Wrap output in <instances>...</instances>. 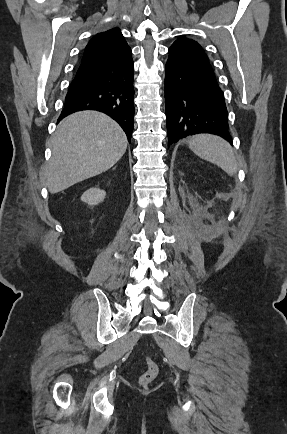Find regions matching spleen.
Wrapping results in <instances>:
<instances>
[{"instance_id":"3e777b00","label":"spleen","mask_w":287,"mask_h":434,"mask_svg":"<svg viewBox=\"0 0 287 434\" xmlns=\"http://www.w3.org/2000/svg\"><path fill=\"white\" fill-rule=\"evenodd\" d=\"M189 148L199 157L216 164L228 175L237 173V161L231 145L221 137L199 134L190 138Z\"/></svg>"}]
</instances>
